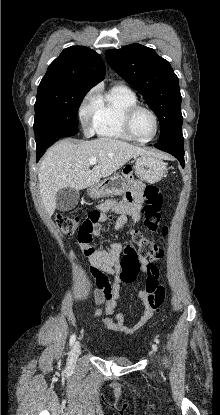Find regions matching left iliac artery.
I'll list each match as a JSON object with an SVG mask.
<instances>
[{
    "label": "left iliac artery",
    "instance_id": "44dca946",
    "mask_svg": "<svg viewBox=\"0 0 220 415\" xmlns=\"http://www.w3.org/2000/svg\"><path fill=\"white\" fill-rule=\"evenodd\" d=\"M155 341H156V343H159V340L158 339H155Z\"/></svg>",
    "mask_w": 220,
    "mask_h": 415
}]
</instances>
